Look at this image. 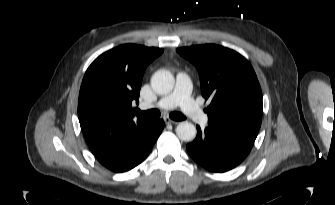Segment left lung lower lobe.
I'll return each mask as SVG.
<instances>
[{
  "label": "left lung lower lobe",
  "mask_w": 335,
  "mask_h": 205,
  "mask_svg": "<svg viewBox=\"0 0 335 205\" xmlns=\"http://www.w3.org/2000/svg\"><path fill=\"white\" fill-rule=\"evenodd\" d=\"M197 127V136L187 144L190 156L213 172H226L240 164L250 152L254 140L208 125Z\"/></svg>",
  "instance_id": "1"
}]
</instances>
